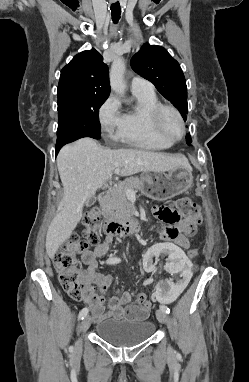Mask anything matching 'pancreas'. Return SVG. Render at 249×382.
<instances>
[{
	"instance_id": "obj_1",
	"label": "pancreas",
	"mask_w": 249,
	"mask_h": 382,
	"mask_svg": "<svg viewBox=\"0 0 249 382\" xmlns=\"http://www.w3.org/2000/svg\"><path fill=\"white\" fill-rule=\"evenodd\" d=\"M140 186L141 182L137 177H129L113 187L105 203L104 214L111 218L128 217L130 209L127 201V192L128 190L136 191Z\"/></svg>"
}]
</instances>
